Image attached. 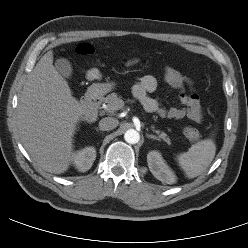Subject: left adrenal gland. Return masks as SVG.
Instances as JSON below:
<instances>
[{
	"instance_id": "obj_1",
	"label": "left adrenal gland",
	"mask_w": 248,
	"mask_h": 248,
	"mask_svg": "<svg viewBox=\"0 0 248 248\" xmlns=\"http://www.w3.org/2000/svg\"><path fill=\"white\" fill-rule=\"evenodd\" d=\"M146 137L147 138H151V139H154V140H160L157 136H155V135H152V134H146Z\"/></svg>"
}]
</instances>
